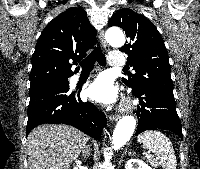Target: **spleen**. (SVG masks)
<instances>
[{"label":"spleen","mask_w":200,"mask_h":169,"mask_svg":"<svg viewBox=\"0 0 200 169\" xmlns=\"http://www.w3.org/2000/svg\"><path fill=\"white\" fill-rule=\"evenodd\" d=\"M138 142L160 159L163 169H176L177 160L172 143L163 133L147 130L138 136Z\"/></svg>","instance_id":"obj_1"}]
</instances>
